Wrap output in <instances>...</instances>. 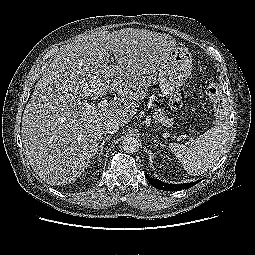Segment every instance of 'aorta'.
Wrapping results in <instances>:
<instances>
[{"label": "aorta", "instance_id": "obj_1", "mask_svg": "<svg viewBox=\"0 0 255 255\" xmlns=\"http://www.w3.org/2000/svg\"><path fill=\"white\" fill-rule=\"evenodd\" d=\"M122 148L127 153H134L139 150V142L135 137L127 136L122 141Z\"/></svg>", "mask_w": 255, "mask_h": 255}]
</instances>
